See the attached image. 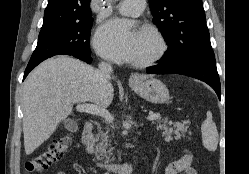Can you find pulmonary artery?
Instances as JSON below:
<instances>
[{
	"label": "pulmonary artery",
	"instance_id": "e3ab8cb5",
	"mask_svg": "<svg viewBox=\"0 0 249 174\" xmlns=\"http://www.w3.org/2000/svg\"><path fill=\"white\" fill-rule=\"evenodd\" d=\"M145 6V0H123L117 5L119 12L136 16L140 14Z\"/></svg>",
	"mask_w": 249,
	"mask_h": 174
}]
</instances>
